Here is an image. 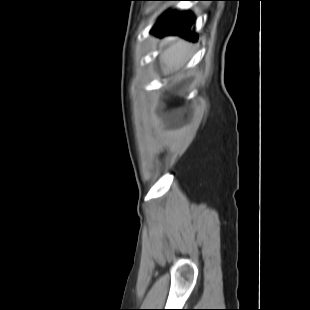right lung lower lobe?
I'll return each mask as SVG.
<instances>
[{"mask_svg":"<svg viewBox=\"0 0 310 310\" xmlns=\"http://www.w3.org/2000/svg\"><path fill=\"white\" fill-rule=\"evenodd\" d=\"M193 24V18L187 13H180L164 19L154 30L156 35L176 33L190 40H195L190 32Z\"/></svg>","mask_w":310,"mask_h":310,"instance_id":"1","label":"right lung lower lobe"}]
</instances>
